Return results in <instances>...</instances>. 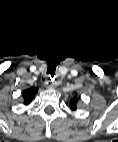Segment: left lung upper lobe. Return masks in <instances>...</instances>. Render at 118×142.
Instances as JSON below:
<instances>
[{
	"label": "left lung upper lobe",
	"instance_id": "left-lung-upper-lobe-1",
	"mask_svg": "<svg viewBox=\"0 0 118 142\" xmlns=\"http://www.w3.org/2000/svg\"><path fill=\"white\" fill-rule=\"evenodd\" d=\"M77 102H78L77 97H73V98L70 100V108H71L72 110H76Z\"/></svg>",
	"mask_w": 118,
	"mask_h": 142
}]
</instances>
